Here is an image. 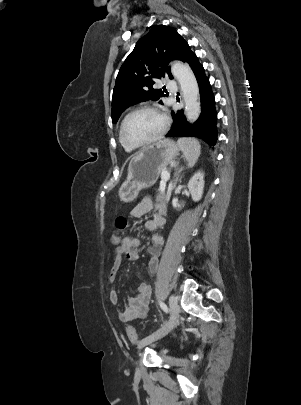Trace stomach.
I'll return each mask as SVG.
<instances>
[{"label": "stomach", "mask_w": 301, "mask_h": 405, "mask_svg": "<svg viewBox=\"0 0 301 405\" xmlns=\"http://www.w3.org/2000/svg\"><path fill=\"white\" fill-rule=\"evenodd\" d=\"M178 153V145L169 139L160 140L136 153L129 162L127 177L119 189L120 200L131 202L142 189L153 186L161 171Z\"/></svg>", "instance_id": "obj_1"}]
</instances>
